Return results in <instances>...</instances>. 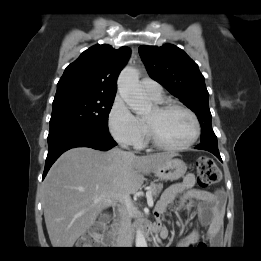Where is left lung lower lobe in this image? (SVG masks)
<instances>
[{
  "label": "left lung lower lobe",
  "instance_id": "obj_1",
  "mask_svg": "<svg viewBox=\"0 0 261 261\" xmlns=\"http://www.w3.org/2000/svg\"><path fill=\"white\" fill-rule=\"evenodd\" d=\"M195 148L209 151L212 154H214L220 161H222L220 153L218 151L217 141H213V140L203 141Z\"/></svg>",
  "mask_w": 261,
  "mask_h": 261
}]
</instances>
